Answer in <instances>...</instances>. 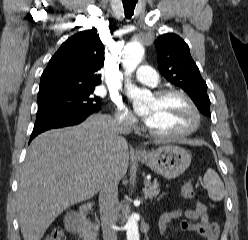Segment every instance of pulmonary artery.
Segmentation results:
<instances>
[{
	"instance_id": "e3ab8cb5",
	"label": "pulmonary artery",
	"mask_w": 248,
	"mask_h": 240,
	"mask_svg": "<svg viewBox=\"0 0 248 240\" xmlns=\"http://www.w3.org/2000/svg\"><path fill=\"white\" fill-rule=\"evenodd\" d=\"M135 77L138 81L149 86H156L159 81L157 73L147 65H141L137 69Z\"/></svg>"
}]
</instances>
